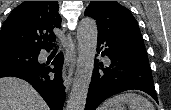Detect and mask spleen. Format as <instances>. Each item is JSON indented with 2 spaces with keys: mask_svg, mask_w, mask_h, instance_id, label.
Masks as SVG:
<instances>
[{
  "mask_svg": "<svg viewBox=\"0 0 171 110\" xmlns=\"http://www.w3.org/2000/svg\"><path fill=\"white\" fill-rule=\"evenodd\" d=\"M125 103L129 104L130 110H155L147 98L133 92H126L108 99L99 107V110H120L119 106Z\"/></svg>",
  "mask_w": 171,
  "mask_h": 110,
  "instance_id": "1",
  "label": "spleen"
}]
</instances>
